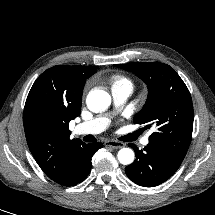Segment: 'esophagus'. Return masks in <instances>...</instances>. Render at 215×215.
<instances>
[{"label":"esophagus","instance_id":"obj_1","mask_svg":"<svg viewBox=\"0 0 215 215\" xmlns=\"http://www.w3.org/2000/svg\"><path fill=\"white\" fill-rule=\"evenodd\" d=\"M105 145L115 148V149H120V148L124 147L125 144L122 142H119V141L108 140L105 142Z\"/></svg>","mask_w":215,"mask_h":215}]
</instances>
